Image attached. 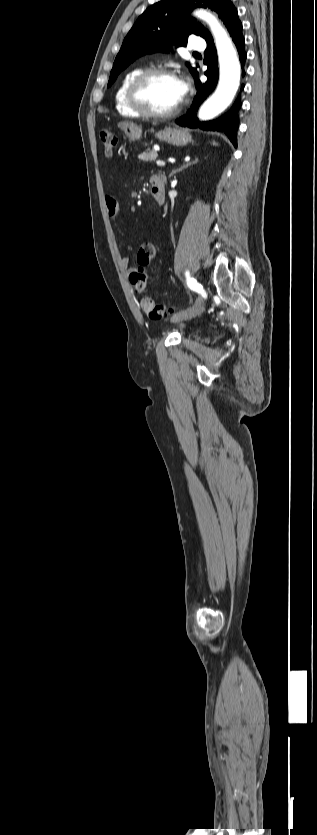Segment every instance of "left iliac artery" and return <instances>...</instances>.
Returning <instances> with one entry per match:
<instances>
[{
    "label": "left iliac artery",
    "mask_w": 317,
    "mask_h": 835,
    "mask_svg": "<svg viewBox=\"0 0 317 835\" xmlns=\"http://www.w3.org/2000/svg\"><path fill=\"white\" fill-rule=\"evenodd\" d=\"M185 275H186V278H187L188 287L191 290L196 291V292L204 295L205 292H204L203 286L200 283H198L194 278L190 277L188 271H186Z\"/></svg>",
    "instance_id": "left-iliac-artery-1"
}]
</instances>
